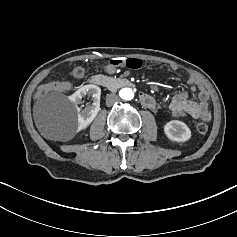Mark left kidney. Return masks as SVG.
I'll list each match as a JSON object with an SVG mask.
<instances>
[{
    "label": "left kidney",
    "instance_id": "left-kidney-1",
    "mask_svg": "<svg viewBox=\"0 0 237 237\" xmlns=\"http://www.w3.org/2000/svg\"><path fill=\"white\" fill-rule=\"evenodd\" d=\"M164 134L170 141L186 142L191 138V130L186 123L180 120H170L164 125Z\"/></svg>",
    "mask_w": 237,
    "mask_h": 237
}]
</instances>
